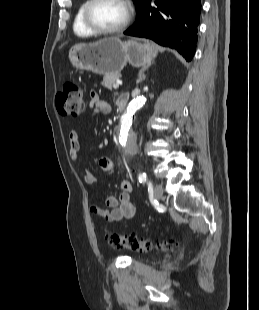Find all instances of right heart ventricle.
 <instances>
[{
	"mask_svg": "<svg viewBox=\"0 0 259 310\" xmlns=\"http://www.w3.org/2000/svg\"><path fill=\"white\" fill-rule=\"evenodd\" d=\"M88 3V0H83L76 10L73 19V31L78 37L86 38L93 35V33L85 26L83 22V11Z\"/></svg>",
	"mask_w": 259,
	"mask_h": 310,
	"instance_id": "e07e8e85",
	"label": "right heart ventricle"
}]
</instances>
